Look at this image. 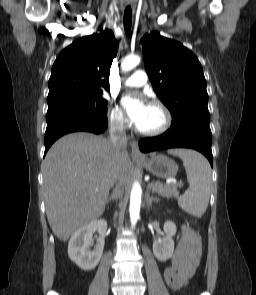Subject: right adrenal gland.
I'll return each instance as SVG.
<instances>
[{
    "label": "right adrenal gland",
    "instance_id": "right-adrenal-gland-1",
    "mask_svg": "<svg viewBox=\"0 0 256 295\" xmlns=\"http://www.w3.org/2000/svg\"><path fill=\"white\" fill-rule=\"evenodd\" d=\"M116 199V192L114 191L113 194H111L108 198H107V204L113 200Z\"/></svg>",
    "mask_w": 256,
    "mask_h": 295
}]
</instances>
